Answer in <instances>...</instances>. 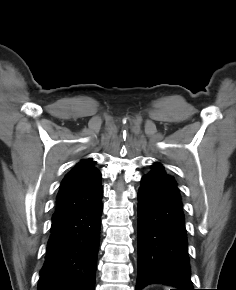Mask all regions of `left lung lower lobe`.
<instances>
[{
	"label": "left lung lower lobe",
	"mask_w": 236,
	"mask_h": 290,
	"mask_svg": "<svg viewBox=\"0 0 236 290\" xmlns=\"http://www.w3.org/2000/svg\"><path fill=\"white\" fill-rule=\"evenodd\" d=\"M136 290L151 283L194 290L182 202L173 181L144 175L138 192Z\"/></svg>",
	"instance_id": "obj_1"
}]
</instances>
